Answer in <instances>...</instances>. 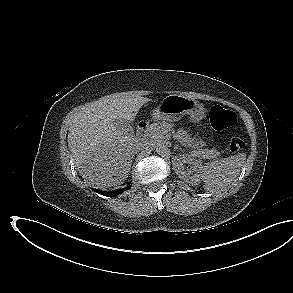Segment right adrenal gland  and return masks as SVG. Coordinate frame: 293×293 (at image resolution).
I'll return each mask as SVG.
<instances>
[{
	"mask_svg": "<svg viewBox=\"0 0 293 293\" xmlns=\"http://www.w3.org/2000/svg\"><path fill=\"white\" fill-rule=\"evenodd\" d=\"M135 157V154H133L132 159Z\"/></svg>",
	"mask_w": 293,
	"mask_h": 293,
	"instance_id": "1",
	"label": "right adrenal gland"
}]
</instances>
